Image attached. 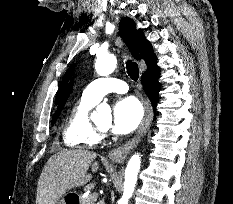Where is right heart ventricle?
Instances as JSON below:
<instances>
[{
  "label": "right heart ventricle",
  "mask_w": 233,
  "mask_h": 204,
  "mask_svg": "<svg viewBox=\"0 0 233 204\" xmlns=\"http://www.w3.org/2000/svg\"><path fill=\"white\" fill-rule=\"evenodd\" d=\"M83 95L72 107L64 127L65 144L72 148H91L101 140L89 118L90 110L95 106Z\"/></svg>",
  "instance_id": "e07e8e85"
}]
</instances>
